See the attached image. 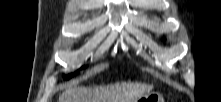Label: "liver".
I'll use <instances>...</instances> for the list:
<instances>
[{"label":"liver","mask_w":221,"mask_h":102,"mask_svg":"<svg viewBox=\"0 0 221 102\" xmlns=\"http://www.w3.org/2000/svg\"><path fill=\"white\" fill-rule=\"evenodd\" d=\"M152 85L122 82L100 87H70L58 102H137L149 94Z\"/></svg>","instance_id":"1"}]
</instances>
